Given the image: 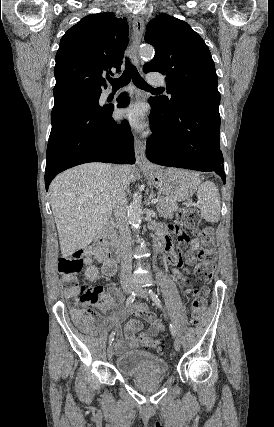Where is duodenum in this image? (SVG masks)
I'll use <instances>...</instances> for the list:
<instances>
[{"mask_svg": "<svg viewBox=\"0 0 274 427\" xmlns=\"http://www.w3.org/2000/svg\"><path fill=\"white\" fill-rule=\"evenodd\" d=\"M156 233L158 235L157 239V247L162 250L166 248L170 241L168 237H166V231L163 227L157 226ZM103 239L109 244V254L114 261H118L119 259V244L116 240V236L113 230V224L108 223L104 229L102 234Z\"/></svg>", "mask_w": 274, "mask_h": 427, "instance_id": "410a0bca", "label": "duodenum"}]
</instances>
